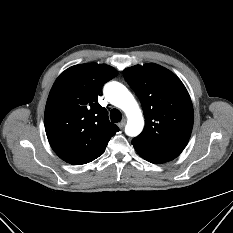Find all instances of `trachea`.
<instances>
[{
    "instance_id": "trachea-1",
    "label": "trachea",
    "mask_w": 233,
    "mask_h": 233,
    "mask_svg": "<svg viewBox=\"0 0 233 233\" xmlns=\"http://www.w3.org/2000/svg\"><path fill=\"white\" fill-rule=\"evenodd\" d=\"M110 119L114 123L120 122L122 119L121 112L118 109H112L110 111Z\"/></svg>"
}]
</instances>
